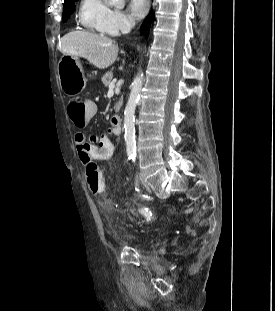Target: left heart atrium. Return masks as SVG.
<instances>
[{
  "mask_svg": "<svg viewBox=\"0 0 275 311\" xmlns=\"http://www.w3.org/2000/svg\"><path fill=\"white\" fill-rule=\"evenodd\" d=\"M149 9V0H130L129 11L134 19L143 18Z\"/></svg>",
  "mask_w": 275,
  "mask_h": 311,
  "instance_id": "39dd6f15",
  "label": "left heart atrium"
}]
</instances>
